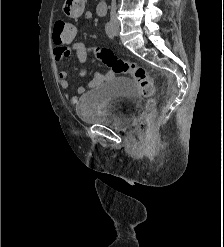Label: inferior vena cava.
Masks as SVG:
<instances>
[{"label":"inferior vena cava","mask_w":224,"mask_h":247,"mask_svg":"<svg viewBox=\"0 0 224 247\" xmlns=\"http://www.w3.org/2000/svg\"><path fill=\"white\" fill-rule=\"evenodd\" d=\"M110 22H112L114 26H119L116 16V0H112L111 2Z\"/></svg>","instance_id":"inferior-vena-cava-1"}]
</instances>
